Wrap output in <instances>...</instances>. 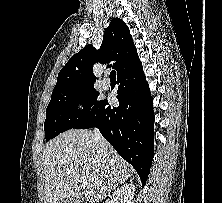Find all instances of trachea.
Returning a JSON list of instances; mask_svg holds the SVG:
<instances>
[{
    "mask_svg": "<svg viewBox=\"0 0 222 203\" xmlns=\"http://www.w3.org/2000/svg\"><path fill=\"white\" fill-rule=\"evenodd\" d=\"M110 80H116V71L112 70L109 75Z\"/></svg>",
    "mask_w": 222,
    "mask_h": 203,
    "instance_id": "3493384b",
    "label": "trachea"
}]
</instances>
